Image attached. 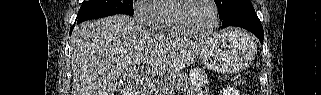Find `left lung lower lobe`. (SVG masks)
Wrapping results in <instances>:
<instances>
[{"label": "left lung lower lobe", "mask_w": 321, "mask_h": 95, "mask_svg": "<svg viewBox=\"0 0 321 95\" xmlns=\"http://www.w3.org/2000/svg\"><path fill=\"white\" fill-rule=\"evenodd\" d=\"M222 28L237 26L252 32L263 43V27L255 13L252 3L232 9L222 19Z\"/></svg>", "instance_id": "left-lung-lower-lobe-1"}]
</instances>
